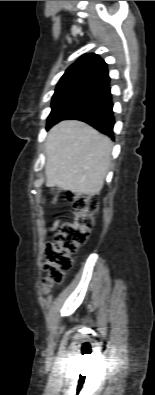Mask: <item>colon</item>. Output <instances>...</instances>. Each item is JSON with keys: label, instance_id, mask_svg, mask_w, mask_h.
I'll return each instance as SVG.
<instances>
[{"label": "colon", "instance_id": "5ec220e1", "mask_svg": "<svg viewBox=\"0 0 155 395\" xmlns=\"http://www.w3.org/2000/svg\"><path fill=\"white\" fill-rule=\"evenodd\" d=\"M69 200L74 210V218L61 224L55 240L45 248V289L63 281L65 272L72 265L71 256L87 241L98 208V198L95 195H69Z\"/></svg>", "mask_w": 155, "mask_h": 395}]
</instances>
